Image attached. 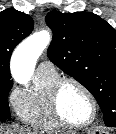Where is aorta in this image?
Instances as JSON below:
<instances>
[{
    "instance_id": "762f6f07",
    "label": "aorta",
    "mask_w": 116,
    "mask_h": 134,
    "mask_svg": "<svg viewBox=\"0 0 116 134\" xmlns=\"http://www.w3.org/2000/svg\"><path fill=\"white\" fill-rule=\"evenodd\" d=\"M50 40V33L43 30L29 36L17 46L11 60V73L18 83L27 84L30 81L36 61Z\"/></svg>"
}]
</instances>
